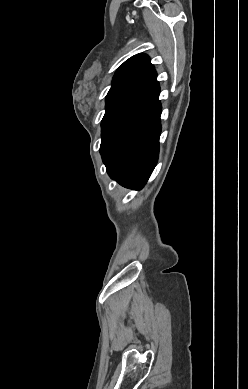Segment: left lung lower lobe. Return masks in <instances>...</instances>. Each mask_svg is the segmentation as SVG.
Segmentation results:
<instances>
[{"instance_id": "1", "label": "left lung lower lobe", "mask_w": 248, "mask_h": 389, "mask_svg": "<svg viewBox=\"0 0 248 389\" xmlns=\"http://www.w3.org/2000/svg\"><path fill=\"white\" fill-rule=\"evenodd\" d=\"M159 93L151 66L106 105L100 153L110 177L124 187L141 189L158 161Z\"/></svg>"}]
</instances>
